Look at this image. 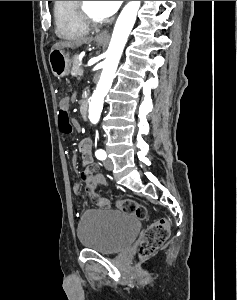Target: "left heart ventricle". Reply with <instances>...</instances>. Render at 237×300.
Masks as SVG:
<instances>
[{"instance_id":"left-heart-ventricle-1","label":"left heart ventricle","mask_w":237,"mask_h":300,"mask_svg":"<svg viewBox=\"0 0 237 300\" xmlns=\"http://www.w3.org/2000/svg\"><path fill=\"white\" fill-rule=\"evenodd\" d=\"M84 2L88 12L95 18L105 19L108 17L106 13L103 11L100 1H84Z\"/></svg>"}]
</instances>
